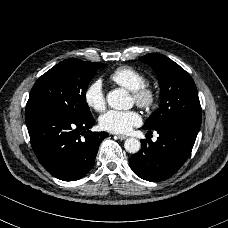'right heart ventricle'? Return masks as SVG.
Masks as SVG:
<instances>
[{"label":"right heart ventricle","instance_id":"1","mask_svg":"<svg viewBox=\"0 0 228 228\" xmlns=\"http://www.w3.org/2000/svg\"><path fill=\"white\" fill-rule=\"evenodd\" d=\"M109 78L131 92L147 82L145 75L131 66H120L116 68L109 74Z\"/></svg>","mask_w":228,"mask_h":228}]
</instances>
